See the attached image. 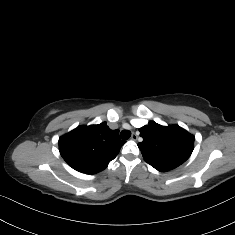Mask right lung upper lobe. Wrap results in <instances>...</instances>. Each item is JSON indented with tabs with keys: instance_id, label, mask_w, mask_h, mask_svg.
I'll return each mask as SVG.
<instances>
[{
	"instance_id": "right-lung-upper-lobe-1",
	"label": "right lung upper lobe",
	"mask_w": 235,
	"mask_h": 235,
	"mask_svg": "<svg viewBox=\"0 0 235 235\" xmlns=\"http://www.w3.org/2000/svg\"><path fill=\"white\" fill-rule=\"evenodd\" d=\"M125 141L119 130H111L106 122L79 126L59 138V151L73 169L95 174L103 171L119 153Z\"/></svg>"
}]
</instances>
